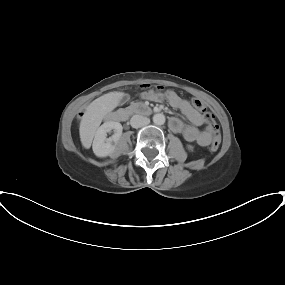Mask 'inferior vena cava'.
I'll list each match as a JSON object with an SVG mask.
<instances>
[{
	"label": "inferior vena cava",
	"mask_w": 285,
	"mask_h": 285,
	"mask_svg": "<svg viewBox=\"0 0 285 285\" xmlns=\"http://www.w3.org/2000/svg\"><path fill=\"white\" fill-rule=\"evenodd\" d=\"M149 123H150L149 118L141 116V115H134L130 120L131 126L136 129L146 126Z\"/></svg>",
	"instance_id": "1"
}]
</instances>
